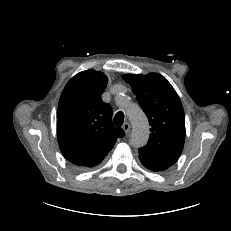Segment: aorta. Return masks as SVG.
Instances as JSON below:
<instances>
[{"mask_svg":"<svg viewBox=\"0 0 231 231\" xmlns=\"http://www.w3.org/2000/svg\"><path fill=\"white\" fill-rule=\"evenodd\" d=\"M127 114L133 127L130 139L131 145L135 148L146 145L150 133L146 115L137 105L131 106Z\"/></svg>","mask_w":231,"mask_h":231,"instance_id":"aorta-1","label":"aorta"}]
</instances>
